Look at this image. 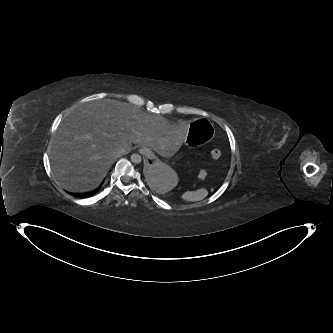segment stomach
Masks as SVG:
<instances>
[{
  "mask_svg": "<svg viewBox=\"0 0 333 333\" xmlns=\"http://www.w3.org/2000/svg\"><path fill=\"white\" fill-rule=\"evenodd\" d=\"M214 136L213 124L207 119L200 118L191 124L189 135L185 138V145L201 146L205 142H210ZM147 158L150 163L144 172L147 186L160 194L175 188L179 181L176 170L168 164L155 162V156L152 153H147Z\"/></svg>",
  "mask_w": 333,
  "mask_h": 333,
  "instance_id": "obj_1",
  "label": "stomach"
}]
</instances>
